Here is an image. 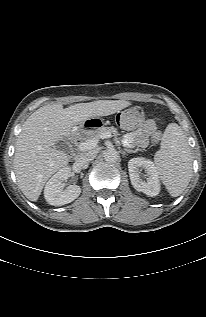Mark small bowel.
I'll return each mask as SVG.
<instances>
[{
    "label": "small bowel",
    "instance_id": "1",
    "mask_svg": "<svg viewBox=\"0 0 206 317\" xmlns=\"http://www.w3.org/2000/svg\"><path fill=\"white\" fill-rule=\"evenodd\" d=\"M157 133V121L148 119L140 128L127 133L123 141L127 147H145L149 143V138L155 139Z\"/></svg>",
    "mask_w": 206,
    "mask_h": 317
}]
</instances>
